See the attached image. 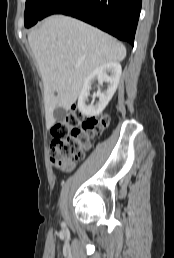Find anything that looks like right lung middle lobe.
<instances>
[{"mask_svg":"<svg viewBox=\"0 0 174 258\" xmlns=\"http://www.w3.org/2000/svg\"><path fill=\"white\" fill-rule=\"evenodd\" d=\"M54 0H26L24 23L26 28L43 19V13Z\"/></svg>","mask_w":174,"mask_h":258,"instance_id":"right-lung-middle-lobe-1","label":"right lung middle lobe"}]
</instances>
